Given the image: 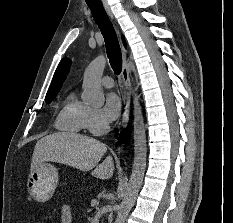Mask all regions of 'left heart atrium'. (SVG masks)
<instances>
[{"mask_svg": "<svg viewBox=\"0 0 233 223\" xmlns=\"http://www.w3.org/2000/svg\"><path fill=\"white\" fill-rule=\"evenodd\" d=\"M122 112V103L120 98L115 94H110L107 97L104 105V113L109 121L117 120Z\"/></svg>", "mask_w": 233, "mask_h": 223, "instance_id": "obj_1", "label": "left heart atrium"}]
</instances>
